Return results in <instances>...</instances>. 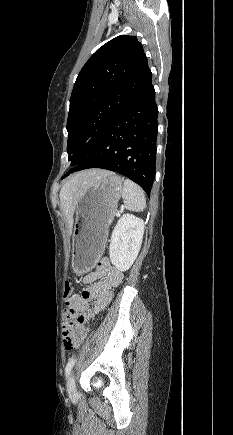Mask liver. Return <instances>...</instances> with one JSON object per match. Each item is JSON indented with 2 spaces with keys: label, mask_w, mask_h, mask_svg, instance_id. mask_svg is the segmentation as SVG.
I'll return each mask as SVG.
<instances>
[{
  "label": "liver",
  "mask_w": 233,
  "mask_h": 435,
  "mask_svg": "<svg viewBox=\"0 0 233 435\" xmlns=\"http://www.w3.org/2000/svg\"><path fill=\"white\" fill-rule=\"evenodd\" d=\"M109 171L93 169L84 170L73 174L60 190L61 208L66 215L69 235L72 233L73 214L76 206L86 189L106 176Z\"/></svg>",
  "instance_id": "6515ba94"
}]
</instances>
